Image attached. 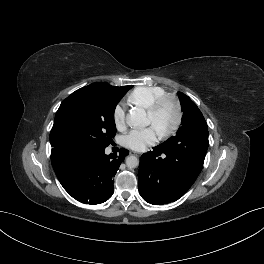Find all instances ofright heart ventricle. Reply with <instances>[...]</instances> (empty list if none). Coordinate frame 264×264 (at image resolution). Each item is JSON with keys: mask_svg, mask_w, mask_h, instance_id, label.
I'll return each instance as SVG.
<instances>
[{"mask_svg": "<svg viewBox=\"0 0 264 264\" xmlns=\"http://www.w3.org/2000/svg\"><path fill=\"white\" fill-rule=\"evenodd\" d=\"M165 94L166 90L160 86H140L129 93L127 101L147 109L156 99Z\"/></svg>", "mask_w": 264, "mask_h": 264, "instance_id": "right-heart-ventricle-1", "label": "right heart ventricle"}]
</instances>
